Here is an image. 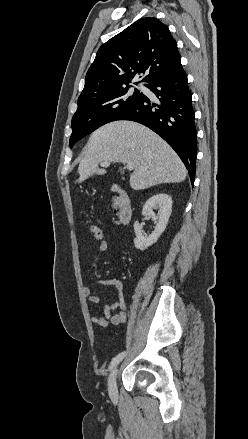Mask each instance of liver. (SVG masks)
I'll use <instances>...</instances> for the list:
<instances>
[{"label": "liver", "instance_id": "1", "mask_svg": "<svg viewBox=\"0 0 248 439\" xmlns=\"http://www.w3.org/2000/svg\"><path fill=\"white\" fill-rule=\"evenodd\" d=\"M133 163L130 186L144 190L185 180L187 170L173 149L149 128L132 121H114L92 133L78 167V183L103 175L102 162Z\"/></svg>", "mask_w": 248, "mask_h": 439}]
</instances>
